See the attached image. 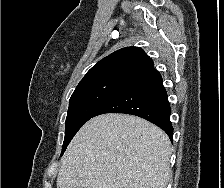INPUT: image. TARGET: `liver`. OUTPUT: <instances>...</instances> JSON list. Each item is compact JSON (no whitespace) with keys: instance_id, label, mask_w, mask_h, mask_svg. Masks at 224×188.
Instances as JSON below:
<instances>
[{"instance_id":"obj_1","label":"liver","mask_w":224,"mask_h":188,"mask_svg":"<svg viewBox=\"0 0 224 188\" xmlns=\"http://www.w3.org/2000/svg\"><path fill=\"white\" fill-rule=\"evenodd\" d=\"M170 156L159 127L133 115H99L69 144L57 188H166Z\"/></svg>"}]
</instances>
